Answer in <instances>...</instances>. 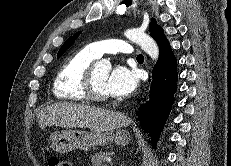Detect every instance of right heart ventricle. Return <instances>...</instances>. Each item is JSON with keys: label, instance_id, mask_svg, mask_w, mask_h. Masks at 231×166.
Listing matches in <instances>:
<instances>
[{"label": "right heart ventricle", "instance_id": "obj_1", "mask_svg": "<svg viewBox=\"0 0 231 166\" xmlns=\"http://www.w3.org/2000/svg\"><path fill=\"white\" fill-rule=\"evenodd\" d=\"M98 57L86 46L72 53L60 66L53 83V94L60 100H87L83 80L89 66Z\"/></svg>", "mask_w": 231, "mask_h": 166}]
</instances>
